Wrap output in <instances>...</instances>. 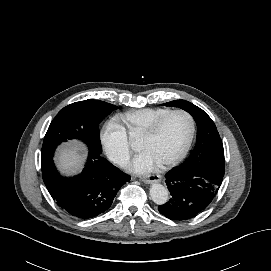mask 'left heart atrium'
<instances>
[{"label":"left heart atrium","instance_id":"obj_1","mask_svg":"<svg viewBox=\"0 0 271 271\" xmlns=\"http://www.w3.org/2000/svg\"><path fill=\"white\" fill-rule=\"evenodd\" d=\"M159 165V162L154 156L146 150L138 153L130 164V168L133 172L142 174L154 170Z\"/></svg>","mask_w":271,"mask_h":271}]
</instances>
